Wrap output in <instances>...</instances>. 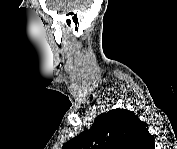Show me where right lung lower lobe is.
Here are the masks:
<instances>
[{"instance_id":"98d812e1","label":"right lung lower lobe","mask_w":177,"mask_h":149,"mask_svg":"<svg viewBox=\"0 0 177 149\" xmlns=\"http://www.w3.org/2000/svg\"><path fill=\"white\" fill-rule=\"evenodd\" d=\"M153 138V137H152ZM151 148H154V142L150 144Z\"/></svg>"}]
</instances>
